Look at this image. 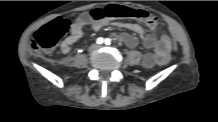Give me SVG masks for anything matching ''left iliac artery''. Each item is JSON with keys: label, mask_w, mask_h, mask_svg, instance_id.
I'll return each mask as SVG.
<instances>
[{"label": "left iliac artery", "mask_w": 218, "mask_h": 122, "mask_svg": "<svg viewBox=\"0 0 218 122\" xmlns=\"http://www.w3.org/2000/svg\"><path fill=\"white\" fill-rule=\"evenodd\" d=\"M105 44L110 45L111 44V39H109V38L105 39Z\"/></svg>", "instance_id": "obj_1"}]
</instances>
